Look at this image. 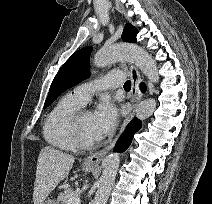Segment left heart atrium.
<instances>
[{
  "label": "left heart atrium",
  "instance_id": "obj_1",
  "mask_svg": "<svg viewBox=\"0 0 212 204\" xmlns=\"http://www.w3.org/2000/svg\"><path fill=\"white\" fill-rule=\"evenodd\" d=\"M93 115L97 139L109 135L118 124V109L109 100L100 102Z\"/></svg>",
  "mask_w": 212,
  "mask_h": 204
}]
</instances>
